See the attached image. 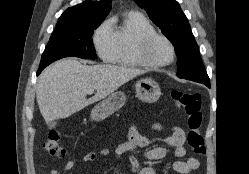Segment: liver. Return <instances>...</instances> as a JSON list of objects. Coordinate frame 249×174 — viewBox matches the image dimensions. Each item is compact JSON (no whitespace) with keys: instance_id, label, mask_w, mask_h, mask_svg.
<instances>
[{"instance_id":"1","label":"liver","mask_w":249,"mask_h":174,"mask_svg":"<svg viewBox=\"0 0 249 174\" xmlns=\"http://www.w3.org/2000/svg\"><path fill=\"white\" fill-rule=\"evenodd\" d=\"M144 73L129 67L109 64L89 66L76 59H64L48 66L40 74L37 103L47 123L67 118ZM94 90L95 95L87 100V94Z\"/></svg>"}]
</instances>
